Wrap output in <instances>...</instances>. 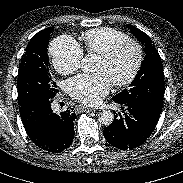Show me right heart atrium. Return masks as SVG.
Listing matches in <instances>:
<instances>
[{
  "mask_svg": "<svg viewBox=\"0 0 183 183\" xmlns=\"http://www.w3.org/2000/svg\"><path fill=\"white\" fill-rule=\"evenodd\" d=\"M54 68L63 75L76 72L81 64L83 50L77 41L68 35L56 38L50 46Z\"/></svg>",
  "mask_w": 183,
  "mask_h": 183,
  "instance_id": "right-heart-atrium-1",
  "label": "right heart atrium"
}]
</instances>
